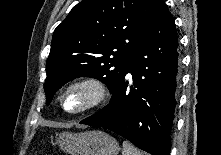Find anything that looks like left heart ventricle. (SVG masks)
<instances>
[{
    "label": "left heart ventricle",
    "instance_id": "b2bd125f",
    "mask_svg": "<svg viewBox=\"0 0 221 155\" xmlns=\"http://www.w3.org/2000/svg\"><path fill=\"white\" fill-rule=\"evenodd\" d=\"M86 99L87 95L84 91L74 90L67 94L64 100V104L67 109L75 110L82 106L85 103Z\"/></svg>",
    "mask_w": 221,
    "mask_h": 155
}]
</instances>
